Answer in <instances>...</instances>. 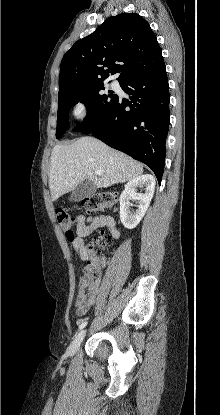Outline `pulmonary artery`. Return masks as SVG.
Returning a JSON list of instances; mask_svg holds the SVG:
<instances>
[{
    "label": "pulmonary artery",
    "mask_w": 220,
    "mask_h": 415,
    "mask_svg": "<svg viewBox=\"0 0 220 415\" xmlns=\"http://www.w3.org/2000/svg\"><path fill=\"white\" fill-rule=\"evenodd\" d=\"M112 86H113V87H116V84H113Z\"/></svg>",
    "instance_id": "pulmonary-artery-1"
}]
</instances>
